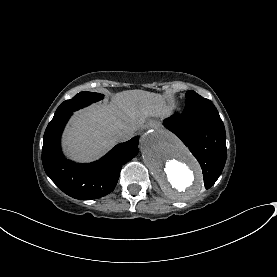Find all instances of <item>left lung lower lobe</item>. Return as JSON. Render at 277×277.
Wrapping results in <instances>:
<instances>
[{
  "instance_id": "left-lung-lower-lobe-1",
  "label": "left lung lower lobe",
  "mask_w": 277,
  "mask_h": 277,
  "mask_svg": "<svg viewBox=\"0 0 277 277\" xmlns=\"http://www.w3.org/2000/svg\"><path fill=\"white\" fill-rule=\"evenodd\" d=\"M196 157L208 189L219 178L226 162V133L220 117L174 115L163 121Z\"/></svg>"
}]
</instances>
